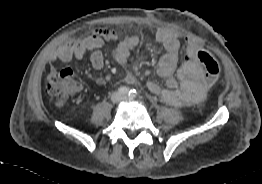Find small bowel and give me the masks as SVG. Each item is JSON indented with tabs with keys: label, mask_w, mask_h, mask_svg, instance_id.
Returning <instances> with one entry per match:
<instances>
[{
	"label": "small bowel",
	"mask_w": 262,
	"mask_h": 184,
	"mask_svg": "<svg viewBox=\"0 0 262 184\" xmlns=\"http://www.w3.org/2000/svg\"><path fill=\"white\" fill-rule=\"evenodd\" d=\"M118 33L113 29L95 28L80 40H71L60 45L49 58L50 64L58 61L69 62L72 59H82L90 53V62L94 69L104 67V57L101 48L107 41H117ZM155 39L164 49L165 54L156 66V72L162 77L167 87L149 81L147 88L162 100L172 106L182 107L201 102L208 86L204 82L205 73L199 67L196 56V42L188 40L185 46L183 62H179L180 36L171 29L161 28L155 33ZM140 38L136 35L120 39L114 52V58L119 64H125L131 52L138 46ZM103 79H98L102 84ZM126 83H133L132 77L125 78Z\"/></svg>",
	"instance_id": "1"
}]
</instances>
